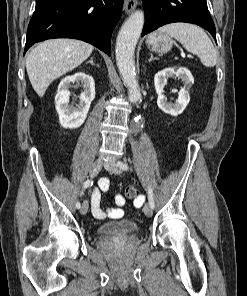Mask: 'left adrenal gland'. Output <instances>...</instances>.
Listing matches in <instances>:
<instances>
[{
    "mask_svg": "<svg viewBox=\"0 0 247 296\" xmlns=\"http://www.w3.org/2000/svg\"><path fill=\"white\" fill-rule=\"evenodd\" d=\"M157 57H153V54H151L150 59L148 60L149 62H151L152 60H157Z\"/></svg>",
    "mask_w": 247,
    "mask_h": 296,
    "instance_id": "a2214340",
    "label": "left adrenal gland"
}]
</instances>
